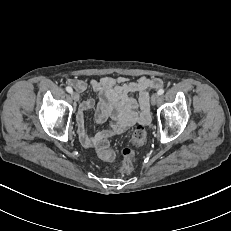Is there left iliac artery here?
I'll return each mask as SVG.
<instances>
[{
  "label": "left iliac artery",
  "mask_w": 231,
  "mask_h": 231,
  "mask_svg": "<svg viewBox=\"0 0 231 231\" xmlns=\"http://www.w3.org/2000/svg\"><path fill=\"white\" fill-rule=\"evenodd\" d=\"M163 93H164V89H159V90H158V94H159V95H162Z\"/></svg>",
  "instance_id": "44dca946"
}]
</instances>
